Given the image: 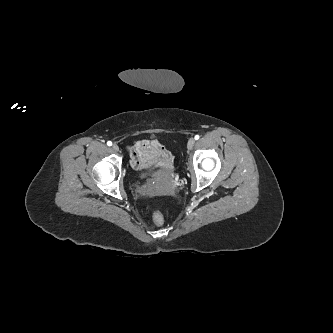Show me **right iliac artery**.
<instances>
[{
	"mask_svg": "<svg viewBox=\"0 0 333 333\" xmlns=\"http://www.w3.org/2000/svg\"><path fill=\"white\" fill-rule=\"evenodd\" d=\"M107 145H108V146H111V145H112V142H111V141H108V142H107Z\"/></svg>",
	"mask_w": 333,
	"mask_h": 333,
	"instance_id": "1",
	"label": "right iliac artery"
}]
</instances>
